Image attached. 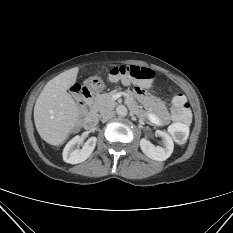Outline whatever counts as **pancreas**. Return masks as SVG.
<instances>
[{
	"label": "pancreas",
	"mask_w": 233,
	"mask_h": 233,
	"mask_svg": "<svg viewBox=\"0 0 233 233\" xmlns=\"http://www.w3.org/2000/svg\"><path fill=\"white\" fill-rule=\"evenodd\" d=\"M118 93V90H113L109 93L100 94L95 97V102L91 108L94 114H104L107 111L113 110L117 103L113 100V95ZM128 98L131 97L130 93H126ZM136 115L141 119L145 120L144 113L140 110L135 111Z\"/></svg>",
	"instance_id": "obj_1"
}]
</instances>
